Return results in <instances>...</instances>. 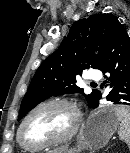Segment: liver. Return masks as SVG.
Segmentation results:
<instances>
[{
    "instance_id": "obj_1",
    "label": "liver",
    "mask_w": 130,
    "mask_h": 153,
    "mask_svg": "<svg viewBox=\"0 0 130 153\" xmlns=\"http://www.w3.org/2000/svg\"><path fill=\"white\" fill-rule=\"evenodd\" d=\"M63 150H56V153H62Z\"/></svg>"
}]
</instances>
